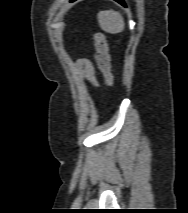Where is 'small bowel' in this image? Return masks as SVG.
I'll use <instances>...</instances> for the list:
<instances>
[{
  "instance_id": "c3829d8e",
  "label": "small bowel",
  "mask_w": 188,
  "mask_h": 213,
  "mask_svg": "<svg viewBox=\"0 0 188 213\" xmlns=\"http://www.w3.org/2000/svg\"><path fill=\"white\" fill-rule=\"evenodd\" d=\"M79 68L81 70L83 77L89 83H91L92 85H97L95 68L89 59L83 58L79 60Z\"/></svg>"
}]
</instances>
